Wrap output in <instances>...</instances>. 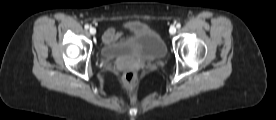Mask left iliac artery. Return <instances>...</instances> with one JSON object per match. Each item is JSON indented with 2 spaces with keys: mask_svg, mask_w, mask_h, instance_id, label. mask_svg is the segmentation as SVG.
Listing matches in <instances>:
<instances>
[{
  "mask_svg": "<svg viewBox=\"0 0 276 120\" xmlns=\"http://www.w3.org/2000/svg\"><path fill=\"white\" fill-rule=\"evenodd\" d=\"M176 27H177V28H180V27H181V24H180V23H177V24H176Z\"/></svg>",
  "mask_w": 276,
  "mask_h": 120,
  "instance_id": "left-iliac-artery-1",
  "label": "left iliac artery"
}]
</instances>
